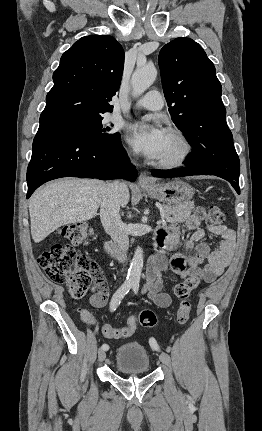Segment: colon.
Here are the masks:
<instances>
[{"instance_id": "1", "label": "colon", "mask_w": 262, "mask_h": 431, "mask_svg": "<svg viewBox=\"0 0 262 431\" xmlns=\"http://www.w3.org/2000/svg\"><path fill=\"white\" fill-rule=\"evenodd\" d=\"M225 215L218 207H210L207 214V223L213 226L223 225ZM93 234L91 228L84 224H73L61 231L63 242L55 243L48 250L38 256V264L46 277L54 283L65 285L69 294L74 299H82L93 278L100 275L96 263L75 251L76 246L89 242ZM200 282L198 276H190L179 282L174 289L175 296L180 300L177 311V320L180 324H186L191 312L190 296ZM86 321L91 318L83 311ZM157 324L155 313L149 309L142 310L135 318H130L122 327L114 328L105 326L103 335L111 339L128 338L132 336L138 325L153 328Z\"/></svg>"}]
</instances>
